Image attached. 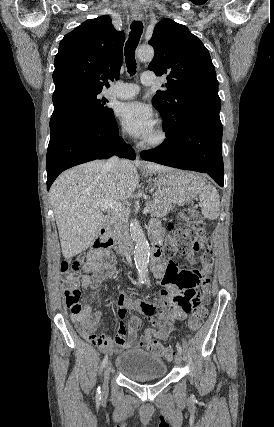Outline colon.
<instances>
[{"label": "colon", "mask_w": 274, "mask_h": 427, "mask_svg": "<svg viewBox=\"0 0 274 427\" xmlns=\"http://www.w3.org/2000/svg\"><path fill=\"white\" fill-rule=\"evenodd\" d=\"M186 225L180 227L178 224L172 226V234L168 239L166 253H173L174 248H189L195 242L205 236V226L199 212L194 207H185L181 213ZM83 259L81 255H74L66 258L61 265V273L65 277L64 282V302L66 307L74 315L82 311L81 291L78 287V277ZM207 311L202 306H196L194 314L188 317L189 334L198 333L203 329L202 318H206ZM188 342L187 340L185 341ZM143 350H150L159 359H170L172 353L169 347H162V342L157 340H146L142 342Z\"/></svg>", "instance_id": "5ec220e1"}]
</instances>
